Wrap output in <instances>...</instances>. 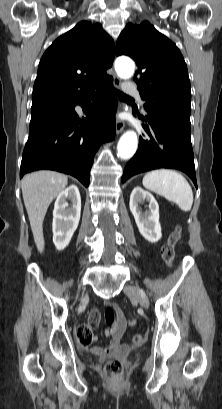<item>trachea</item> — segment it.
<instances>
[{
    "label": "trachea",
    "instance_id": "3493384b",
    "mask_svg": "<svg viewBox=\"0 0 222 409\" xmlns=\"http://www.w3.org/2000/svg\"><path fill=\"white\" fill-rule=\"evenodd\" d=\"M116 94H117L118 98H120V99H133L132 97L124 94L123 92H121L119 90H116Z\"/></svg>",
    "mask_w": 222,
    "mask_h": 409
}]
</instances>
